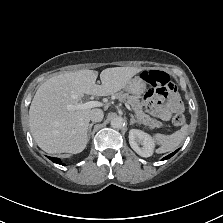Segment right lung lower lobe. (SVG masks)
<instances>
[{
  "label": "right lung lower lobe",
  "mask_w": 223,
  "mask_h": 223,
  "mask_svg": "<svg viewBox=\"0 0 223 223\" xmlns=\"http://www.w3.org/2000/svg\"><path fill=\"white\" fill-rule=\"evenodd\" d=\"M52 162L64 165L59 158L48 157Z\"/></svg>",
  "instance_id": "1"
}]
</instances>
